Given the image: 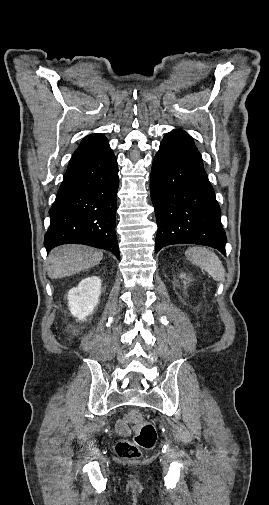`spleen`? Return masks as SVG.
<instances>
[{
	"label": "spleen",
	"mask_w": 269,
	"mask_h": 505,
	"mask_svg": "<svg viewBox=\"0 0 269 505\" xmlns=\"http://www.w3.org/2000/svg\"><path fill=\"white\" fill-rule=\"evenodd\" d=\"M187 259L205 270L215 281H222L225 269L219 257L206 247H190L185 251Z\"/></svg>",
	"instance_id": "spleen-1"
}]
</instances>
